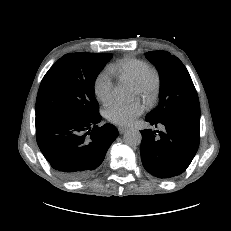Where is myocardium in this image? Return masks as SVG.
<instances>
[{"label":"myocardium","mask_w":231,"mask_h":231,"mask_svg":"<svg viewBox=\"0 0 231 231\" xmlns=\"http://www.w3.org/2000/svg\"><path fill=\"white\" fill-rule=\"evenodd\" d=\"M162 86V76L157 68L146 69L133 87L138 91L148 106H152L158 100Z\"/></svg>","instance_id":"f54148a6"}]
</instances>
